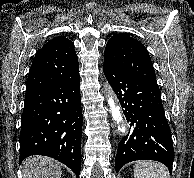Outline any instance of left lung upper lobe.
Masks as SVG:
<instances>
[{
	"instance_id": "left-lung-upper-lobe-1",
	"label": "left lung upper lobe",
	"mask_w": 194,
	"mask_h": 178,
	"mask_svg": "<svg viewBox=\"0 0 194 178\" xmlns=\"http://www.w3.org/2000/svg\"><path fill=\"white\" fill-rule=\"evenodd\" d=\"M104 58V63L121 72L157 83L147 49L128 33H119L111 37L106 45Z\"/></svg>"
}]
</instances>
